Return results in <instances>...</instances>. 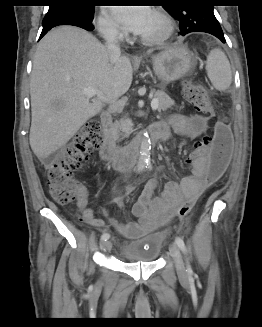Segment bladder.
<instances>
[{"label": "bladder", "instance_id": "bladder-1", "mask_svg": "<svg viewBox=\"0 0 262 327\" xmlns=\"http://www.w3.org/2000/svg\"><path fill=\"white\" fill-rule=\"evenodd\" d=\"M166 239L167 235L164 232L149 233L141 238L123 244L120 249V256L125 262H156L162 252Z\"/></svg>", "mask_w": 262, "mask_h": 327}]
</instances>
